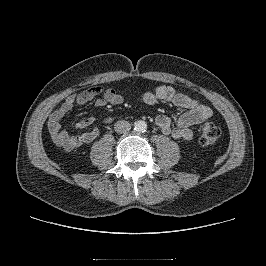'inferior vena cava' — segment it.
I'll use <instances>...</instances> for the list:
<instances>
[{
  "label": "inferior vena cava",
  "mask_w": 266,
  "mask_h": 266,
  "mask_svg": "<svg viewBox=\"0 0 266 266\" xmlns=\"http://www.w3.org/2000/svg\"><path fill=\"white\" fill-rule=\"evenodd\" d=\"M114 129L119 134L128 133L131 129V124L128 121L120 120L115 123Z\"/></svg>",
  "instance_id": "obj_1"
}]
</instances>
